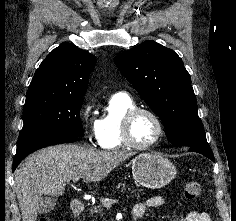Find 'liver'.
Returning <instances> with one entry per match:
<instances>
[{
	"label": "liver",
	"mask_w": 236,
	"mask_h": 221,
	"mask_svg": "<svg viewBox=\"0 0 236 221\" xmlns=\"http://www.w3.org/2000/svg\"><path fill=\"white\" fill-rule=\"evenodd\" d=\"M133 155L126 151H99L75 144L43 148L22 162L15 172V189L22 221H36L43 195L58 197L74 178L99 182Z\"/></svg>",
	"instance_id": "1"
}]
</instances>
